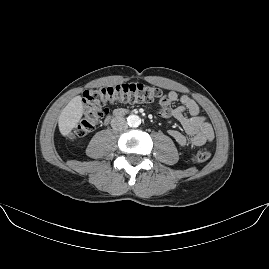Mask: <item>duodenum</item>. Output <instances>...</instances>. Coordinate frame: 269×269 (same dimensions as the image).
<instances>
[{
  "label": "duodenum",
  "mask_w": 269,
  "mask_h": 269,
  "mask_svg": "<svg viewBox=\"0 0 269 269\" xmlns=\"http://www.w3.org/2000/svg\"><path fill=\"white\" fill-rule=\"evenodd\" d=\"M126 113H127L126 110H124V109H120V108H119V109H115V110L113 111L112 116H113V117H120V116L125 115ZM109 119H110V118H107V119H106V122H108Z\"/></svg>",
  "instance_id": "1"
}]
</instances>
